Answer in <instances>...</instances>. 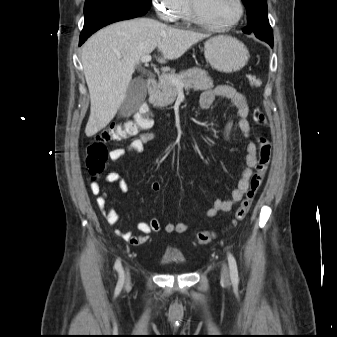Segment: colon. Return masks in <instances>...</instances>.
Wrapping results in <instances>:
<instances>
[{
  "instance_id": "1",
  "label": "colon",
  "mask_w": 337,
  "mask_h": 337,
  "mask_svg": "<svg viewBox=\"0 0 337 337\" xmlns=\"http://www.w3.org/2000/svg\"><path fill=\"white\" fill-rule=\"evenodd\" d=\"M248 81L250 86L254 88L261 86V80L259 76L255 74H250ZM142 106L150 107L151 101L143 100ZM156 118V112H149V109L143 108L134 120L114 124L109 129L101 131L91 139L86 147V167L92 180L95 181L96 177L104 170L105 163L108 159L107 143L120 142L137 136L141 130L151 126V119ZM252 120L254 124L259 127H263L267 123L265 114L259 107L253 109ZM256 141L258 144V160L255 165V171L249 180V186L245 196L234 213L231 226L237 225L249 213L270 162V142L262 135H259ZM215 237L216 234L212 231H201L196 234L195 242L198 245H204L210 243Z\"/></svg>"
}]
</instances>
